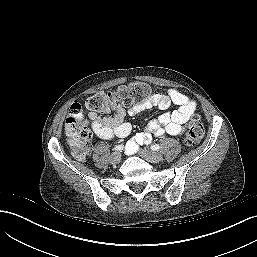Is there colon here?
Masks as SVG:
<instances>
[{
    "mask_svg": "<svg viewBox=\"0 0 257 257\" xmlns=\"http://www.w3.org/2000/svg\"><path fill=\"white\" fill-rule=\"evenodd\" d=\"M150 95L149 86L145 83L135 82L122 86L115 91H101L89 97L85 106L87 109L107 113L115 108L128 107L140 103ZM80 103L70 106L65 120V133L67 142L73 156L79 160L84 159L89 152L91 132L82 116ZM204 127L201 118L193 115L185 135V144L188 147L196 146L202 139Z\"/></svg>",
    "mask_w": 257,
    "mask_h": 257,
    "instance_id": "obj_1",
    "label": "colon"
}]
</instances>
